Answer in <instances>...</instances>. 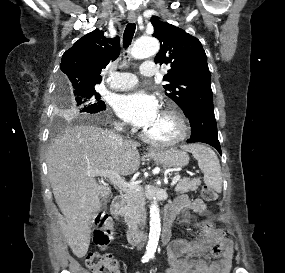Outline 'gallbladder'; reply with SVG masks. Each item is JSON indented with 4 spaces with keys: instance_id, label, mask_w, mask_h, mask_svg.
<instances>
[{
    "instance_id": "obj_1",
    "label": "gallbladder",
    "mask_w": 285,
    "mask_h": 273,
    "mask_svg": "<svg viewBox=\"0 0 285 273\" xmlns=\"http://www.w3.org/2000/svg\"><path fill=\"white\" fill-rule=\"evenodd\" d=\"M107 203H108V201H107V197H106V198L103 199V202H102L103 208H106Z\"/></svg>"
}]
</instances>
